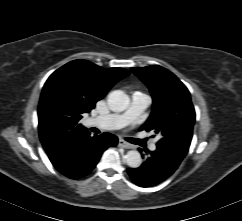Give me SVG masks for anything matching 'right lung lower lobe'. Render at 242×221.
Listing matches in <instances>:
<instances>
[{
    "label": "right lung lower lobe",
    "mask_w": 242,
    "mask_h": 221,
    "mask_svg": "<svg viewBox=\"0 0 242 221\" xmlns=\"http://www.w3.org/2000/svg\"><path fill=\"white\" fill-rule=\"evenodd\" d=\"M118 139L110 133L90 136L88 131L65 139L54 150L47 152L53 166L63 175L78 179L89 174L102 153L117 145Z\"/></svg>",
    "instance_id": "right-lung-lower-lobe-1"
}]
</instances>
